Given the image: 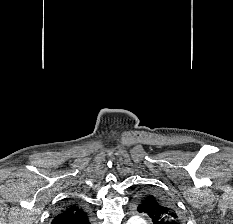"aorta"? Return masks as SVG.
Here are the masks:
<instances>
[{"instance_id":"762f6f07","label":"aorta","mask_w":233,"mask_h":224,"mask_svg":"<svg viewBox=\"0 0 233 224\" xmlns=\"http://www.w3.org/2000/svg\"><path fill=\"white\" fill-rule=\"evenodd\" d=\"M126 224H147L146 221L140 216L131 217Z\"/></svg>"}]
</instances>
